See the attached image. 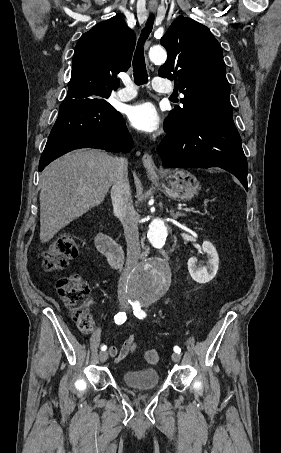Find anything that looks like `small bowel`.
I'll use <instances>...</instances> for the list:
<instances>
[{
	"label": "small bowel",
	"mask_w": 281,
	"mask_h": 453,
	"mask_svg": "<svg viewBox=\"0 0 281 453\" xmlns=\"http://www.w3.org/2000/svg\"><path fill=\"white\" fill-rule=\"evenodd\" d=\"M135 347V339L133 335H130L124 342L121 348L118 350L115 346H110L108 352L110 355L115 356V361H123L129 354H132Z\"/></svg>",
	"instance_id": "small-bowel-1"
}]
</instances>
